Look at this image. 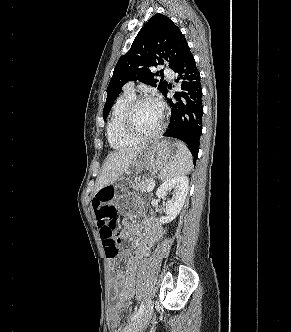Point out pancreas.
Here are the masks:
<instances>
[{"label": "pancreas", "mask_w": 291, "mask_h": 332, "mask_svg": "<svg viewBox=\"0 0 291 332\" xmlns=\"http://www.w3.org/2000/svg\"><path fill=\"white\" fill-rule=\"evenodd\" d=\"M153 181L152 178H148V179H145V180H142V181H139V182H135L133 185H132V188L136 191H139L141 193H145L147 192V188L149 186V184Z\"/></svg>", "instance_id": "pancreas-1"}]
</instances>
